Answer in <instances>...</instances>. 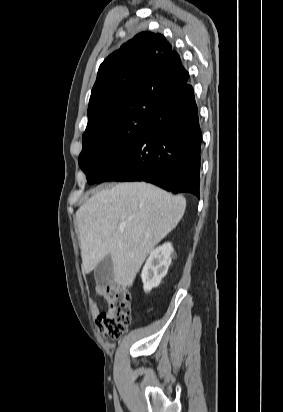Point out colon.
I'll list each match as a JSON object with an SVG mask.
<instances>
[{"label":"colon","instance_id":"obj_1","mask_svg":"<svg viewBox=\"0 0 283 412\" xmlns=\"http://www.w3.org/2000/svg\"><path fill=\"white\" fill-rule=\"evenodd\" d=\"M106 301L108 308L98 316L96 326L105 338L117 340L130 322L129 297L121 286L112 284L107 288Z\"/></svg>","mask_w":283,"mask_h":412}]
</instances>
